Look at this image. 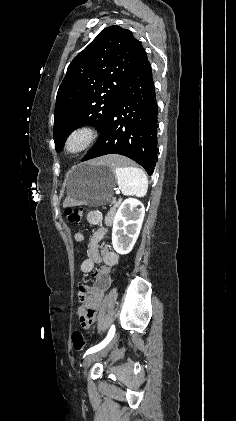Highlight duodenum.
<instances>
[{
  "label": "duodenum",
  "instance_id": "1",
  "mask_svg": "<svg viewBox=\"0 0 236 421\" xmlns=\"http://www.w3.org/2000/svg\"><path fill=\"white\" fill-rule=\"evenodd\" d=\"M99 256H92L91 260L95 261ZM104 262V267L97 270V285L94 289L88 290L84 297L83 303L85 309L83 310V316H89L88 313L91 312V315H95L99 309L102 297L104 292L109 286L110 283V268L115 266L118 261V255L111 250H104L100 256Z\"/></svg>",
  "mask_w": 236,
  "mask_h": 421
}]
</instances>
